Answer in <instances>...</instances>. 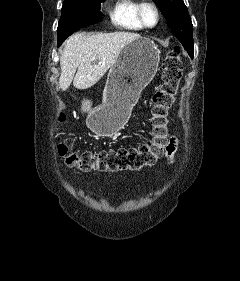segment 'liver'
<instances>
[{
    "label": "liver",
    "mask_w": 240,
    "mask_h": 281,
    "mask_svg": "<svg viewBox=\"0 0 240 281\" xmlns=\"http://www.w3.org/2000/svg\"><path fill=\"white\" fill-rule=\"evenodd\" d=\"M139 37L137 33L124 31L73 34L60 55V88L68 89L72 81L81 90L94 86L114 65L124 47Z\"/></svg>",
    "instance_id": "6515ba94"
}]
</instances>
